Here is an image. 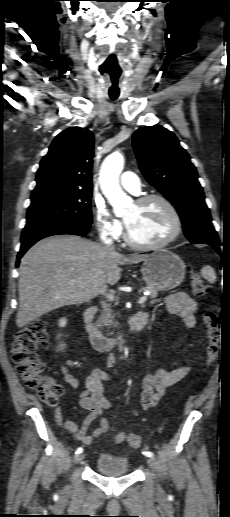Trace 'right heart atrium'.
<instances>
[{
	"mask_svg": "<svg viewBox=\"0 0 230 517\" xmlns=\"http://www.w3.org/2000/svg\"><path fill=\"white\" fill-rule=\"evenodd\" d=\"M96 227L100 236L106 240H117L122 236L123 227L119 220L114 218L103 203L94 206Z\"/></svg>",
	"mask_w": 230,
	"mask_h": 517,
	"instance_id": "1",
	"label": "right heart atrium"
}]
</instances>
